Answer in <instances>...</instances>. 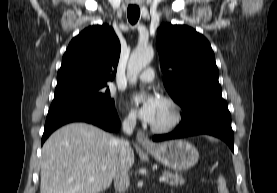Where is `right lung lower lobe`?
Returning <instances> with one entry per match:
<instances>
[{
    "label": "right lung lower lobe",
    "instance_id": "obj_1",
    "mask_svg": "<svg viewBox=\"0 0 277 193\" xmlns=\"http://www.w3.org/2000/svg\"><path fill=\"white\" fill-rule=\"evenodd\" d=\"M70 122H87L110 132L120 127L114 108L72 99H54L48 111L41 144L54 130Z\"/></svg>",
    "mask_w": 277,
    "mask_h": 193
}]
</instances>
